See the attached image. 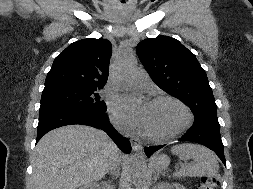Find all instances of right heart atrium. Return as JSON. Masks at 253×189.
I'll list each match as a JSON object with an SVG mask.
<instances>
[{"label":"right heart atrium","instance_id":"right-heart-atrium-1","mask_svg":"<svg viewBox=\"0 0 253 189\" xmlns=\"http://www.w3.org/2000/svg\"><path fill=\"white\" fill-rule=\"evenodd\" d=\"M113 107H115V106H113V104L110 103V104H109V108H110V109H113ZM114 117H115V116H114ZM115 119H116V118H115ZM117 122H118V121H117Z\"/></svg>","mask_w":253,"mask_h":189}]
</instances>
